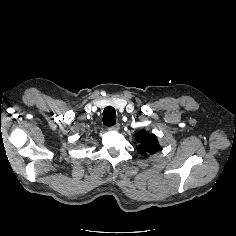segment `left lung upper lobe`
Listing matches in <instances>:
<instances>
[{
	"instance_id": "obj_1",
	"label": "left lung upper lobe",
	"mask_w": 236,
	"mask_h": 236,
	"mask_svg": "<svg viewBox=\"0 0 236 236\" xmlns=\"http://www.w3.org/2000/svg\"><path fill=\"white\" fill-rule=\"evenodd\" d=\"M135 139L140 144L138 151L145 155V157H147V154L156 153L160 149L157 137L145 130H141L135 134Z\"/></svg>"
}]
</instances>
